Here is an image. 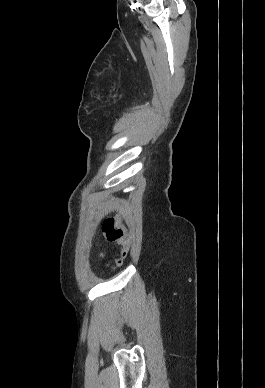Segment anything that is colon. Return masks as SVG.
Returning <instances> with one entry per match:
<instances>
[{"mask_svg": "<svg viewBox=\"0 0 265 388\" xmlns=\"http://www.w3.org/2000/svg\"><path fill=\"white\" fill-rule=\"evenodd\" d=\"M102 231L108 241L117 242L122 246L120 256L115 260V265L120 266L127 258L130 249V239L127 237L120 219L117 217L105 219L102 225Z\"/></svg>", "mask_w": 265, "mask_h": 388, "instance_id": "1", "label": "colon"}]
</instances>
